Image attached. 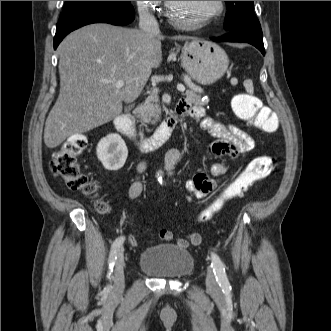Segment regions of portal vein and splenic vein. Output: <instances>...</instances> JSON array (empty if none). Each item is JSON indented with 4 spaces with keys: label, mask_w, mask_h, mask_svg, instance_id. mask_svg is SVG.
Instances as JSON below:
<instances>
[{
    "label": "portal vein and splenic vein",
    "mask_w": 331,
    "mask_h": 331,
    "mask_svg": "<svg viewBox=\"0 0 331 331\" xmlns=\"http://www.w3.org/2000/svg\"><path fill=\"white\" fill-rule=\"evenodd\" d=\"M124 84H125V83H124V81H122V80H118V81L115 82V86H116V88H118V89L122 88V87L124 86ZM177 90L180 91V92H184V91H185V86L182 85V84H178V85H177ZM157 91H158L157 88H154V89H153V92H157Z\"/></svg>",
    "instance_id": "1"
}]
</instances>
